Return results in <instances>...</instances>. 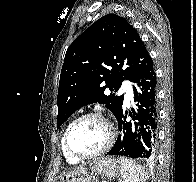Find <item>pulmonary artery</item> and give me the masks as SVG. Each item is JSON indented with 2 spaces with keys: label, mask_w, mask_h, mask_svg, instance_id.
<instances>
[{
  "label": "pulmonary artery",
  "mask_w": 196,
  "mask_h": 182,
  "mask_svg": "<svg viewBox=\"0 0 196 182\" xmlns=\"http://www.w3.org/2000/svg\"><path fill=\"white\" fill-rule=\"evenodd\" d=\"M123 92H125V100H126V102L129 103L132 100V98H133L132 91L130 89H128V88H125V89H123Z\"/></svg>",
  "instance_id": "1"
}]
</instances>
